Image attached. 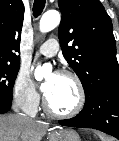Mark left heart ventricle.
<instances>
[{"label":"left heart ventricle","mask_w":119,"mask_h":141,"mask_svg":"<svg viewBox=\"0 0 119 141\" xmlns=\"http://www.w3.org/2000/svg\"><path fill=\"white\" fill-rule=\"evenodd\" d=\"M51 88L46 99L52 109L59 112H68L75 108L78 101V91L74 81L58 74L50 75Z\"/></svg>","instance_id":"left-heart-ventricle-1"}]
</instances>
